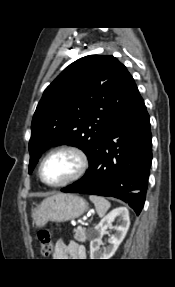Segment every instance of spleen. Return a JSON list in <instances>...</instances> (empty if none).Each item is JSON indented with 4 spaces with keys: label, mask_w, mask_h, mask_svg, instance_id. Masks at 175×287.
<instances>
[{
    "label": "spleen",
    "mask_w": 175,
    "mask_h": 287,
    "mask_svg": "<svg viewBox=\"0 0 175 287\" xmlns=\"http://www.w3.org/2000/svg\"><path fill=\"white\" fill-rule=\"evenodd\" d=\"M89 199L94 203L99 216H104L110 208V202L101 196L90 195Z\"/></svg>",
    "instance_id": "1"
}]
</instances>
